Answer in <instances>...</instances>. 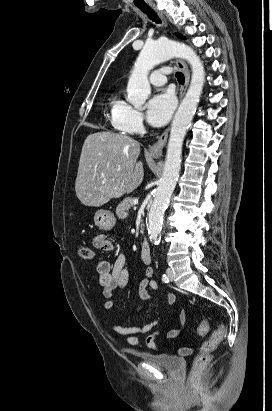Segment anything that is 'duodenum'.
I'll use <instances>...</instances> for the list:
<instances>
[{"instance_id":"1","label":"duodenum","mask_w":272,"mask_h":411,"mask_svg":"<svg viewBox=\"0 0 272 411\" xmlns=\"http://www.w3.org/2000/svg\"><path fill=\"white\" fill-rule=\"evenodd\" d=\"M141 258L145 263L150 264L152 262L151 248L147 240H143L141 244Z\"/></svg>"}]
</instances>
